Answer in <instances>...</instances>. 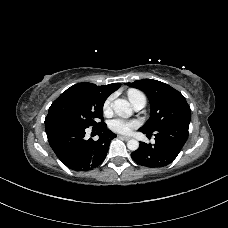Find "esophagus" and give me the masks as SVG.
<instances>
[{
	"instance_id": "34e87169",
	"label": "esophagus",
	"mask_w": 228,
	"mask_h": 228,
	"mask_svg": "<svg viewBox=\"0 0 228 228\" xmlns=\"http://www.w3.org/2000/svg\"><path fill=\"white\" fill-rule=\"evenodd\" d=\"M119 137L122 138L123 140H126V141L131 139V137L125 136V135H121Z\"/></svg>"
}]
</instances>
